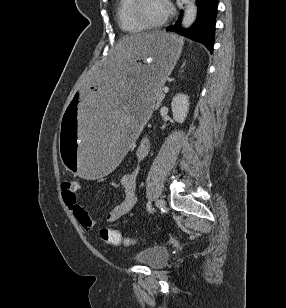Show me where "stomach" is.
I'll list each match as a JSON object with an SVG mask.
<instances>
[{
  "label": "stomach",
  "mask_w": 286,
  "mask_h": 308,
  "mask_svg": "<svg viewBox=\"0 0 286 308\" xmlns=\"http://www.w3.org/2000/svg\"><path fill=\"white\" fill-rule=\"evenodd\" d=\"M183 40L165 32L125 36L111 55L97 60L62 112L59 138L68 173L100 182L120 168L135 132L150 119L157 92L172 72Z\"/></svg>",
  "instance_id": "1"
}]
</instances>
